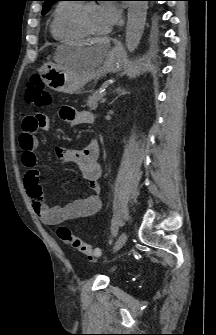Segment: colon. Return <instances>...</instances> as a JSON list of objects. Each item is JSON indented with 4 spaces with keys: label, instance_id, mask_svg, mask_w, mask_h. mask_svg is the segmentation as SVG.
Listing matches in <instances>:
<instances>
[{
    "label": "colon",
    "instance_id": "5ec220e1",
    "mask_svg": "<svg viewBox=\"0 0 216 335\" xmlns=\"http://www.w3.org/2000/svg\"><path fill=\"white\" fill-rule=\"evenodd\" d=\"M26 98L29 103L37 108H46L51 104V94L44 88L43 82L38 75H33L26 83ZM58 237L68 244L73 250L79 252L90 260L97 259L101 251L97 247L86 243L66 226L57 229Z\"/></svg>",
    "mask_w": 216,
    "mask_h": 335
}]
</instances>
